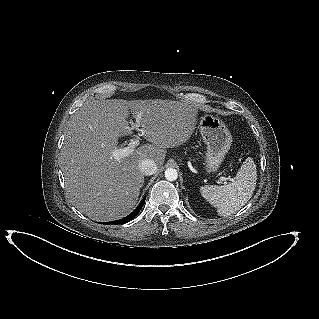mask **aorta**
Returning <instances> with one entry per match:
<instances>
[{
    "label": "aorta",
    "mask_w": 319,
    "mask_h": 319,
    "mask_svg": "<svg viewBox=\"0 0 319 319\" xmlns=\"http://www.w3.org/2000/svg\"><path fill=\"white\" fill-rule=\"evenodd\" d=\"M165 178L168 181H175L178 178V172L174 168H168L165 170Z\"/></svg>",
    "instance_id": "obj_1"
}]
</instances>
